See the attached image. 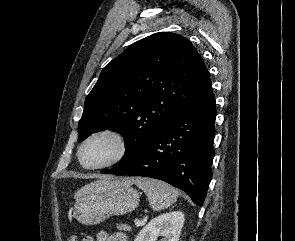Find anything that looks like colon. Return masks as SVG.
Listing matches in <instances>:
<instances>
[{"label": "colon", "instance_id": "obj_1", "mask_svg": "<svg viewBox=\"0 0 295 241\" xmlns=\"http://www.w3.org/2000/svg\"><path fill=\"white\" fill-rule=\"evenodd\" d=\"M69 241H77V239L72 237V238L69 239Z\"/></svg>", "mask_w": 295, "mask_h": 241}]
</instances>
